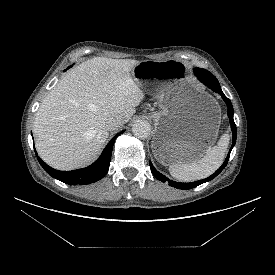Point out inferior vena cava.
<instances>
[{
    "label": "inferior vena cava",
    "mask_w": 275,
    "mask_h": 275,
    "mask_svg": "<svg viewBox=\"0 0 275 275\" xmlns=\"http://www.w3.org/2000/svg\"><path fill=\"white\" fill-rule=\"evenodd\" d=\"M124 124V120L120 116H112L106 122V128L108 130H115Z\"/></svg>",
    "instance_id": "inferior-vena-cava-1"
}]
</instances>
